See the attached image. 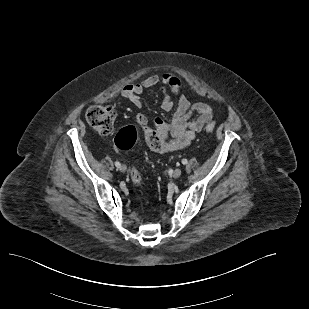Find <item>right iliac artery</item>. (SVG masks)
<instances>
[{"instance_id":"right-iliac-artery-1","label":"right iliac artery","mask_w":309,"mask_h":309,"mask_svg":"<svg viewBox=\"0 0 309 309\" xmlns=\"http://www.w3.org/2000/svg\"><path fill=\"white\" fill-rule=\"evenodd\" d=\"M115 166H116L117 168H120L121 164H120L118 161H116V162H115Z\"/></svg>"}]
</instances>
